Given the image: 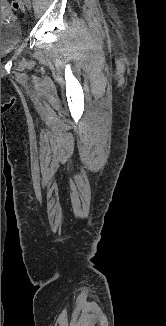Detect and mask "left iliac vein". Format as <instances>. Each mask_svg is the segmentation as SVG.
Masks as SVG:
<instances>
[{
  "mask_svg": "<svg viewBox=\"0 0 166 326\" xmlns=\"http://www.w3.org/2000/svg\"><path fill=\"white\" fill-rule=\"evenodd\" d=\"M25 7L30 10L31 9V1L30 0H24Z\"/></svg>",
  "mask_w": 166,
  "mask_h": 326,
  "instance_id": "left-iliac-vein-1",
  "label": "left iliac vein"
}]
</instances>
